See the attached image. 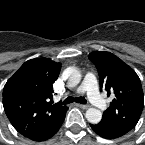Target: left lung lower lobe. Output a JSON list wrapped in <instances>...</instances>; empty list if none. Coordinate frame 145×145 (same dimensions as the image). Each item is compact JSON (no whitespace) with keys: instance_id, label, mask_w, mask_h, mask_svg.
Instances as JSON below:
<instances>
[{"instance_id":"obj_1","label":"left lung lower lobe","mask_w":145,"mask_h":145,"mask_svg":"<svg viewBox=\"0 0 145 145\" xmlns=\"http://www.w3.org/2000/svg\"><path fill=\"white\" fill-rule=\"evenodd\" d=\"M90 126L96 134H98L99 136H101L105 139H115V138L123 136V134L114 132V131L102 126L99 123L98 124H91Z\"/></svg>"}]
</instances>
